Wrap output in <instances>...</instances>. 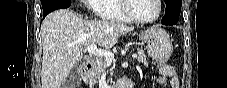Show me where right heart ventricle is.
I'll return each mask as SVG.
<instances>
[{"label":"right heart ventricle","instance_id":"e07e8e85","mask_svg":"<svg viewBox=\"0 0 227 88\" xmlns=\"http://www.w3.org/2000/svg\"><path fill=\"white\" fill-rule=\"evenodd\" d=\"M91 9L100 19L130 22L122 11L123 0H91Z\"/></svg>","mask_w":227,"mask_h":88}]
</instances>
